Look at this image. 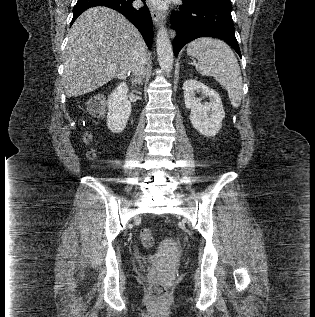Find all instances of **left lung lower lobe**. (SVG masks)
Instances as JSON below:
<instances>
[{"mask_svg":"<svg viewBox=\"0 0 315 317\" xmlns=\"http://www.w3.org/2000/svg\"><path fill=\"white\" fill-rule=\"evenodd\" d=\"M180 11L172 12L171 25L176 30L173 41L174 55L182 47L199 37H214L224 40L241 57L234 33L231 5L219 4L213 0H183Z\"/></svg>","mask_w":315,"mask_h":317,"instance_id":"1","label":"left lung lower lobe"}]
</instances>
